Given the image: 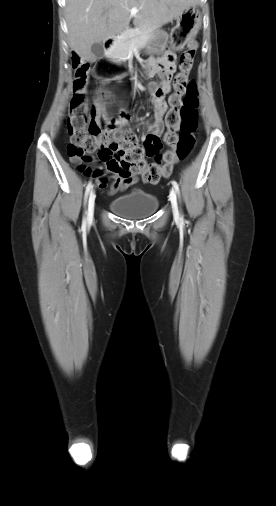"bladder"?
I'll use <instances>...</instances> for the list:
<instances>
[{"mask_svg":"<svg viewBox=\"0 0 276 506\" xmlns=\"http://www.w3.org/2000/svg\"><path fill=\"white\" fill-rule=\"evenodd\" d=\"M159 206L158 198L145 191H135L113 198L109 208L126 218H143L153 214Z\"/></svg>","mask_w":276,"mask_h":506,"instance_id":"1","label":"bladder"}]
</instances>
